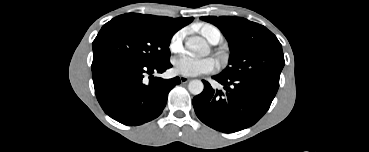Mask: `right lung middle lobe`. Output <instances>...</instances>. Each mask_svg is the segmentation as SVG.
I'll list each match as a JSON object with an SVG mask.
<instances>
[{"instance_id":"obj_1","label":"right lung middle lobe","mask_w":369,"mask_h":152,"mask_svg":"<svg viewBox=\"0 0 369 152\" xmlns=\"http://www.w3.org/2000/svg\"><path fill=\"white\" fill-rule=\"evenodd\" d=\"M174 31L120 15L104 24L93 41L92 70L112 62L153 65L169 60Z\"/></svg>"}]
</instances>
